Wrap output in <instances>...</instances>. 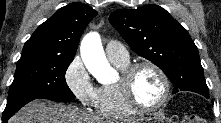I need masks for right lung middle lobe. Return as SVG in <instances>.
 I'll return each mask as SVG.
<instances>
[{
  "instance_id": "right-lung-middle-lobe-1",
  "label": "right lung middle lobe",
  "mask_w": 221,
  "mask_h": 123,
  "mask_svg": "<svg viewBox=\"0 0 221 123\" xmlns=\"http://www.w3.org/2000/svg\"><path fill=\"white\" fill-rule=\"evenodd\" d=\"M73 59L74 56L22 54L3 116L11 117L35 99H75L65 81L66 70Z\"/></svg>"
}]
</instances>
